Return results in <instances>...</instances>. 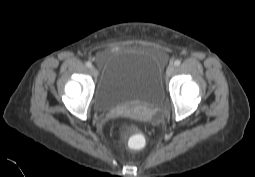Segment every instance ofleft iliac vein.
<instances>
[{
    "instance_id": "4c4485c4",
    "label": "left iliac vein",
    "mask_w": 255,
    "mask_h": 177,
    "mask_svg": "<svg viewBox=\"0 0 255 177\" xmlns=\"http://www.w3.org/2000/svg\"><path fill=\"white\" fill-rule=\"evenodd\" d=\"M175 71V66L173 64H170L168 67H167V70H166V75L167 77H170L172 76V74L174 73Z\"/></svg>"
}]
</instances>
